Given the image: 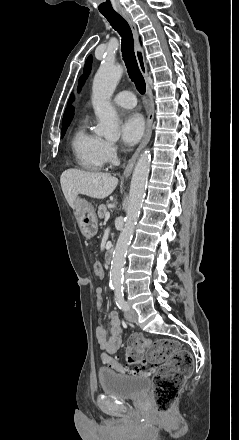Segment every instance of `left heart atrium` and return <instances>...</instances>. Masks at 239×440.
I'll list each match as a JSON object with an SVG mask.
<instances>
[{"label": "left heart atrium", "mask_w": 239, "mask_h": 440, "mask_svg": "<svg viewBox=\"0 0 239 440\" xmlns=\"http://www.w3.org/2000/svg\"><path fill=\"white\" fill-rule=\"evenodd\" d=\"M144 130L143 118L136 112H130L122 116L119 131L122 141L126 145H134L142 136Z\"/></svg>", "instance_id": "left-heart-atrium-1"}]
</instances>
